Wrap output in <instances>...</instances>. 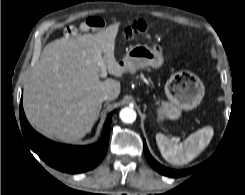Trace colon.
Masks as SVG:
<instances>
[{"label": "colon", "instance_id": "1", "mask_svg": "<svg viewBox=\"0 0 245 195\" xmlns=\"http://www.w3.org/2000/svg\"><path fill=\"white\" fill-rule=\"evenodd\" d=\"M146 30V24L139 20L134 22L130 27H128L124 32L125 39H132L135 36L143 33Z\"/></svg>", "mask_w": 245, "mask_h": 195}]
</instances>
